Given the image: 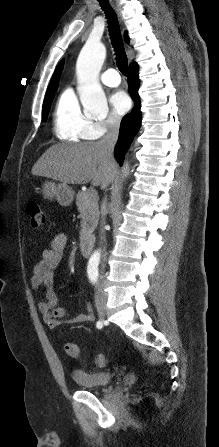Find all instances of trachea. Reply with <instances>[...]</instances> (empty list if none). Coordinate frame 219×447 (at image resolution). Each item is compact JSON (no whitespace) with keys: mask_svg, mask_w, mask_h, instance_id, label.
I'll use <instances>...</instances> for the list:
<instances>
[{"mask_svg":"<svg viewBox=\"0 0 219 447\" xmlns=\"http://www.w3.org/2000/svg\"><path fill=\"white\" fill-rule=\"evenodd\" d=\"M98 1L102 9L105 11L106 17L108 19L110 38L115 51L118 69L123 75H126L128 59L125 54L117 16L114 10L111 8L108 0H98Z\"/></svg>","mask_w":219,"mask_h":447,"instance_id":"obj_1","label":"trachea"}]
</instances>
